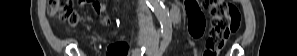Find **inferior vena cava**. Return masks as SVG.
Returning a JSON list of instances; mask_svg holds the SVG:
<instances>
[{
    "instance_id": "1",
    "label": "inferior vena cava",
    "mask_w": 297,
    "mask_h": 56,
    "mask_svg": "<svg viewBox=\"0 0 297 56\" xmlns=\"http://www.w3.org/2000/svg\"><path fill=\"white\" fill-rule=\"evenodd\" d=\"M138 21H139V27L143 29L145 32L149 33L150 36H155V31L153 29L152 24V17L147 10L145 3L143 0L140 1V6L138 9Z\"/></svg>"
}]
</instances>
